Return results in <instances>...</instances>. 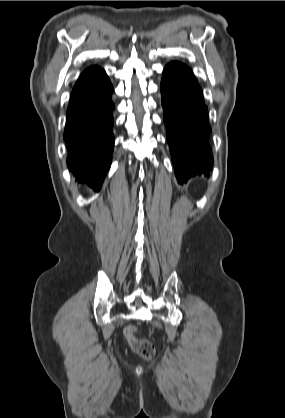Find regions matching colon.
Listing matches in <instances>:
<instances>
[{
    "label": "colon",
    "instance_id": "obj_1",
    "mask_svg": "<svg viewBox=\"0 0 285 418\" xmlns=\"http://www.w3.org/2000/svg\"><path fill=\"white\" fill-rule=\"evenodd\" d=\"M124 336L133 351L145 360H150L155 355V348L151 341L136 336V327L127 326L124 330Z\"/></svg>",
    "mask_w": 285,
    "mask_h": 418
}]
</instances>
